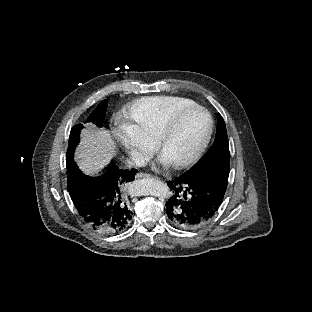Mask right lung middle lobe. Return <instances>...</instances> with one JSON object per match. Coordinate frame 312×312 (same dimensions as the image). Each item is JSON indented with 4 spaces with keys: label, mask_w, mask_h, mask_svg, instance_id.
<instances>
[{
    "label": "right lung middle lobe",
    "mask_w": 312,
    "mask_h": 312,
    "mask_svg": "<svg viewBox=\"0 0 312 312\" xmlns=\"http://www.w3.org/2000/svg\"><path fill=\"white\" fill-rule=\"evenodd\" d=\"M107 104H108L107 100L102 101L95 108V110L89 115V117L87 118V122H92L96 124L97 126L101 127L104 117H105ZM82 128H83V125L78 124L72 127L71 129L70 136H69V144H68V149H67V154H66V166H68V164L72 163L73 161L74 150L79 142L80 131L82 130Z\"/></svg>",
    "instance_id": "right-lung-middle-lobe-1"
}]
</instances>
